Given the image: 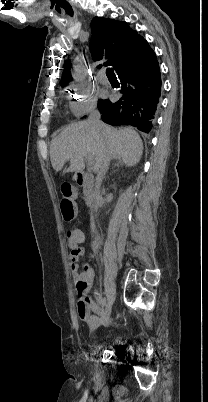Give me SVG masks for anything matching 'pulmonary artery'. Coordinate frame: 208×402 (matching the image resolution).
<instances>
[{
    "label": "pulmonary artery",
    "mask_w": 208,
    "mask_h": 402,
    "mask_svg": "<svg viewBox=\"0 0 208 402\" xmlns=\"http://www.w3.org/2000/svg\"><path fill=\"white\" fill-rule=\"evenodd\" d=\"M97 73L99 76H106L108 73V70L106 67H99L97 70Z\"/></svg>",
    "instance_id": "e3ab8cb5"
}]
</instances>
